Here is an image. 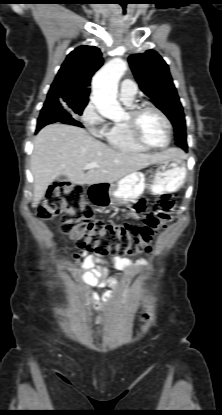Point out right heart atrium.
I'll return each instance as SVG.
<instances>
[{
	"mask_svg": "<svg viewBox=\"0 0 222 415\" xmlns=\"http://www.w3.org/2000/svg\"><path fill=\"white\" fill-rule=\"evenodd\" d=\"M80 121L91 134L96 136H103L108 129V123L92 101L82 110Z\"/></svg>",
	"mask_w": 222,
	"mask_h": 415,
	"instance_id": "right-heart-atrium-1",
	"label": "right heart atrium"
}]
</instances>
